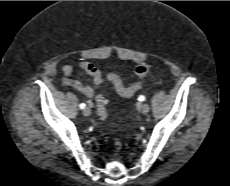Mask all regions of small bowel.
<instances>
[{"label":"small bowel","instance_id":"1","mask_svg":"<svg viewBox=\"0 0 230 186\" xmlns=\"http://www.w3.org/2000/svg\"><path fill=\"white\" fill-rule=\"evenodd\" d=\"M78 70L86 73L90 78L89 84H84L81 81L74 78L75 69L71 65H63L61 71L64 74L62 78V84L64 86L71 87L78 92L82 93L89 99H95L96 101L99 98H104L102 95H97V89L103 84L104 78L99 68L89 61H81L78 64ZM132 85V84H131ZM130 85V86H131ZM117 93L120 95L121 90H125L128 87L123 84L120 79L118 86L113 85ZM133 94L125 95V97H131Z\"/></svg>","mask_w":230,"mask_h":186}]
</instances>
